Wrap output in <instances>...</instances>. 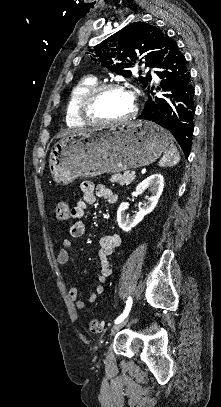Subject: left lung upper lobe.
Listing matches in <instances>:
<instances>
[{
	"instance_id": "obj_1",
	"label": "left lung upper lobe",
	"mask_w": 221,
	"mask_h": 407,
	"mask_svg": "<svg viewBox=\"0 0 221 407\" xmlns=\"http://www.w3.org/2000/svg\"><path fill=\"white\" fill-rule=\"evenodd\" d=\"M172 39L160 28L145 22H134L116 32L87 54L101 66L124 77L131 76L129 67L136 61L145 63L146 67H155L168 53ZM144 88L151 80V75L139 77Z\"/></svg>"
}]
</instances>
